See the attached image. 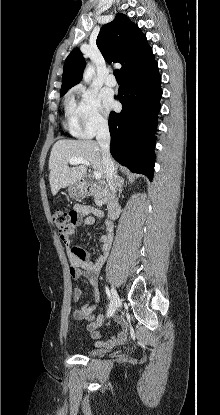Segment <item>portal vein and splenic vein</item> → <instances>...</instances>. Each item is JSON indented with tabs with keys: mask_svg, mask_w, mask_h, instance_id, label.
<instances>
[{
	"mask_svg": "<svg viewBox=\"0 0 220 415\" xmlns=\"http://www.w3.org/2000/svg\"><path fill=\"white\" fill-rule=\"evenodd\" d=\"M68 162L71 165L83 164L85 166H90L89 161H87L86 159H83V158H76V157L70 158ZM94 177H95L96 180H100L102 178V175L99 172L95 171L94 172Z\"/></svg>",
	"mask_w": 220,
	"mask_h": 415,
	"instance_id": "1",
	"label": "portal vein and splenic vein"
}]
</instances>
